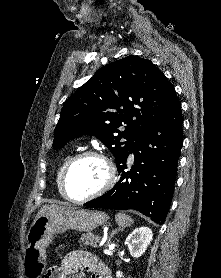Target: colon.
Returning <instances> with one entry per match:
<instances>
[{
    "instance_id": "obj_1",
    "label": "colon",
    "mask_w": 221,
    "mask_h": 278,
    "mask_svg": "<svg viewBox=\"0 0 221 278\" xmlns=\"http://www.w3.org/2000/svg\"><path fill=\"white\" fill-rule=\"evenodd\" d=\"M49 274L51 275V277L55 278L58 274V267L55 266L53 267L50 271H49Z\"/></svg>"
}]
</instances>
